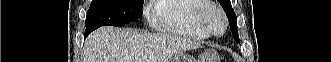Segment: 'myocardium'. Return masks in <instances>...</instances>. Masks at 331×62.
<instances>
[{
  "label": "myocardium",
  "mask_w": 331,
  "mask_h": 62,
  "mask_svg": "<svg viewBox=\"0 0 331 62\" xmlns=\"http://www.w3.org/2000/svg\"><path fill=\"white\" fill-rule=\"evenodd\" d=\"M212 11L217 12L222 20V30L220 32L215 31L209 22L208 15ZM196 20L199 26L211 36L223 35L228 27V20L224 10L212 1H206V3L199 9Z\"/></svg>",
  "instance_id": "myocardium-1"
}]
</instances>
